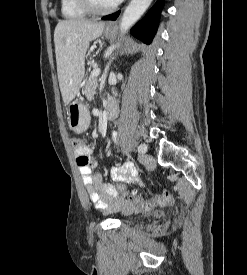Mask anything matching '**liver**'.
I'll return each instance as SVG.
<instances>
[{"label": "liver", "mask_w": 247, "mask_h": 275, "mask_svg": "<svg viewBox=\"0 0 247 275\" xmlns=\"http://www.w3.org/2000/svg\"><path fill=\"white\" fill-rule=\"evenodd\" d=\"M104 26V22L69 19L60 21L55 27L57 74L65 105H69L79 91L89 43L101 36Z\"/></svg>", "instance_id": "6515ba94"}]
</instances>
